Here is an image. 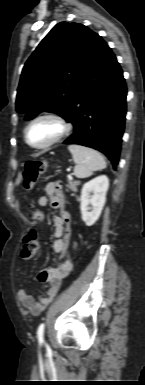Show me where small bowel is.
<instances>
[{
    "label": "small bowel",
    "instance_id": "small-bowel-1",
    "mask_svg": "<svg viewBox=\"0 0 145 385\" xmlns=\"http://www.w3.org/2000/svg\"><path fill=\"white\" fill-rule=\"evenodd\" d=\"M38 204L42 207L50 205L53 209L60 211V214L54 218V241L52 243V249L55 253L64 254L69 244L71 229L70 217L64 207L61 185L58 182L48 183L46 186V194L39 197ZM72 268V262L67 260L58 265L41 270L38 274L39 281L50 285L47 291V297L40 296L35 298L26 290L20 289L17 292V298L21 307L33 316L39 315L56 296L63 279L68 276Z\"/></svg>",
    "mask_w": 145,
    "mask_h": 385
}]
</instances>
